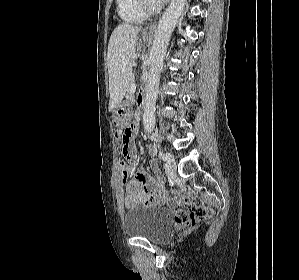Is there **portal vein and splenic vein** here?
<instances>
[{"instance_id": "obj_1", "label": "portal vein and splenic vein", "mask_w": 299, "mask_h": 280, "mask_svg": "<svg viewBox=\"0 0 299 280\" xmlns=\"http://www.w3.org/2000/svg\"><path fill=\"white\" fill-rule=\"evenodd\" d=\"M135 90H136V84L133 83V84H131V86H130V91H131V92H134Z\"/></svg>"}]
</instances>
